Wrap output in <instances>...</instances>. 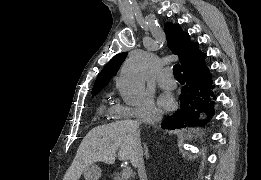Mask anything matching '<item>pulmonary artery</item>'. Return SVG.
<instances>
[{
    "mask_svg": "<svg viewBox=\"0 0 261 180\" xmlns=\"http://www.w3.org/2000/svg\"><path fill=\"white\" fill-rule=\"evenodd\" d=\"M158 85L164 89H173L176 86L175 81L172 79V70L165 68L159 75Z\"/></svg>",
    "mask_w": 261,
    "mask_h": 180,
    "instance_id": "e3ab8cb5",
    "label": "pulmonary artery"
}]
</instances>
